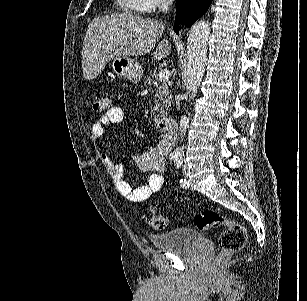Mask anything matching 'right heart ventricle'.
Listing matches in <instances>:
<instances>
[{"label":"right heart ventricle","instance_id":"right-heart-ventricle-1","mask_svg":"<svg viewBox=\"0 0 307 301\" xmlns=\"http://www.w3.org/2000/svg\"><path fill=\"white\" fill-rule=\"evenodd\" d=\"M119 2L124 4L122 12H135V8H142V0H119Z\"/></svg>","mask_w":307,"mask_h":301}]
</instances>
